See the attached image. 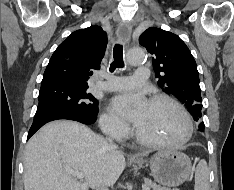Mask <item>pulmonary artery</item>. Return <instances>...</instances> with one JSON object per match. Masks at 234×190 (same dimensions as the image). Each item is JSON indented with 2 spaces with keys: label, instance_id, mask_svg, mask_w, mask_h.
<instances>
[{
  "label": "pulmonary artery",
  "instance_id": "obj_1",
  "mask_svg": "<svg viewBox=\"0 0 234 190\" xmlns=\"http://www.w3.org/2000/svg\"><path fill=\"white\" fill-rule=\"evenodd\" d=\"M106 81L97 83V87L106 91H126L148 82L149 68L138 66L134 76L104 75Z\"/></svg>",
  "mask_w": 234,
  "mask_h": 190
}]
</instances>
